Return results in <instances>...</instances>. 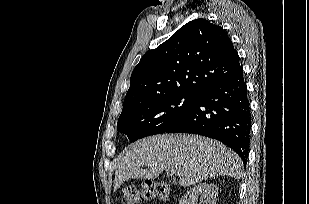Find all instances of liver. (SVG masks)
<instances>
[{
  "mask_svg": "<svg viewBox=\"0 0 309 204\" xmlns=\"http://www.w3.org/2000/svg\"><path fill=\"white\" fill-rule=\"evenodd\" d=\"M166 169H174L180 176L179 185L186 187L215 176L238 179L243 163L216 140L186 134L155 135L133 143L123 153L115 170L114 191L129 179H155Z\"/></svg>",
  "mask_w": 309,
  "mask_h": 204,
  "instance_id": "liver-1",
  "label": "liver"
}]
</instances>
